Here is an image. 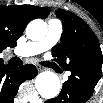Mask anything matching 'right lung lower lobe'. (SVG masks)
Here are the masks:
<instances>
[{
    "label": "right lung lower lobe",
    "mask_w": 103,
    "mask_h": 103,
    "mask_svg": "<svg viewBox=\"0 0 103 103\" xmlns=\"http://www.w3.org/2000/svg\"><path fill=\"white\" fill-rule=\"evenodd\" d=\"M37 75L34 65L9 67L0 65V103H13L21 83Z\"/></svg>",
    "instance_id": "obj_1"
}]
</instances>
